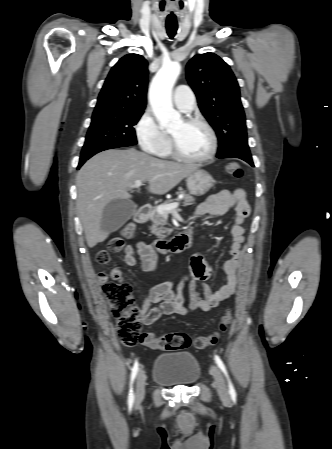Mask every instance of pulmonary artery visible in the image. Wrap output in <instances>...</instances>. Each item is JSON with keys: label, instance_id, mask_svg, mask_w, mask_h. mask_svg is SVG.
Here are the masks:
<instances>
[{"label": "pulmonary artery", "instance_id": "1", "mask_svg": "<svg viewBox=\"0 0 332 449\" xmlns=\"http://www.w3.org/2000/svg\"><path fill=\"white\" fill-rule=\"evenodd\" d=\"M174 105L182 112H190L195 105L193 91L187 85H178L173 94Z\"/></svg>", "mask_w": 332, "mask_h": 449}]
</instances>
